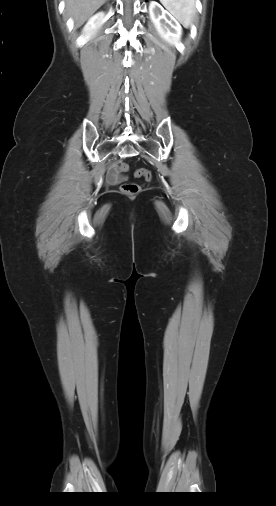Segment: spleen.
Segmentation results:
<instances>
[{
  "label": "spleen",
  "mask_w": 276,
  "mask_h": 506,
  "mask_svg": "<svg viewBox=\"0 0 276 506\" xmlns=\"http://www.w3.org/2000/svg\"><path fill=\"white\" fill-rule=\"evenodd\" d=\"M160 2L185 28L191 26L196 13L195 0H160Z\"/></svg>",
  "instance_id": "spleen-1"
}]
</instances>
